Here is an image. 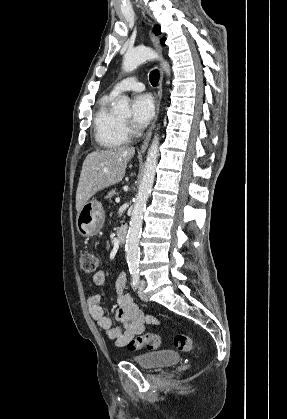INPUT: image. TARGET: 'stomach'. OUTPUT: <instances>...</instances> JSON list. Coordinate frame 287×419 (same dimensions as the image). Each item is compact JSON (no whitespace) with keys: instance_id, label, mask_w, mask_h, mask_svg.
I'll return each instance as SVG.
<instances>
[{"instance_id":"1","label":"stomach","mask_w":287,"mask_h":419,"mask_svg":"<svg viewBox=\"0 0 287 419\" xmlns=\"http://www.w3.org/2000/svg\"><path fill=\"white\" fill-rule=\"evenodd\" d=\"M103 223L104 210L102 204L96 199L88 200L77 214V229L84 237H92L98 234Z\"/></svg>"}]
</instances>
